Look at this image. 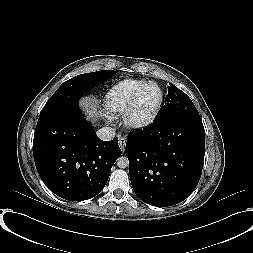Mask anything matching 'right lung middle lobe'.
<instances>
[{"label": "right lung middle lobe", "instance_id": "right-lung-middle-lobe-1", "mask_svg": "<svg viewBox=\"0 0 253 253\" xmlns=\"http://www.w3.org/2000/svg\"><path fill=\"white\" fill-rule=\"evenodd\" d=\"M116 71H96L81 74L64 82L47 101L40 117L51 115L69 105L78 103L84 92L111 78Z\"/></svg>", "mask_w": 253, "mask_h": 253}]
</instances>
